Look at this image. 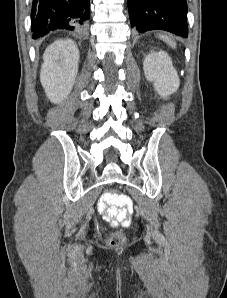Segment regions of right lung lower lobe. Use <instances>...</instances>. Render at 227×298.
<instances>
[{
  "label": "right lung lower lobe",
  "instance_id": "obj_1",
  "mask_svg": "<svg viewBox=\"0 0 227 298\" xmlns=\"http://www.w3.org/2000/svg\"><path fill=\"white\" fill-rule=\"evenodd\" d=\"M90 18V0H33V38L56 29L78 30Z\"/></svg>",
  "mask_w": 227,
  "mask_h": 298
}]
</instances>
